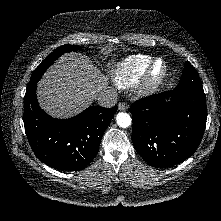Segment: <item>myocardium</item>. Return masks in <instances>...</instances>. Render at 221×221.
Returning <instances> with one entry per match:
<instances>
[{
	"instance_id": "1",
	"label": "myocardium",
	"mask_w": 221,
	"mask_h": 221,
	"mask_svg": "<svg viewBox=\"0 0 221 221\" xmlns=\"http://www.w3.org/2000/svg\"><path fill=\"white\" fill-rule=\"evenodd\" d=\"M161 64V70L156 73L155 68ZM168 73V66L162 58H156L151 61L143 76L138 82V90L142 94H153L163 84Z\"/></svg>"
}]
</instances>
